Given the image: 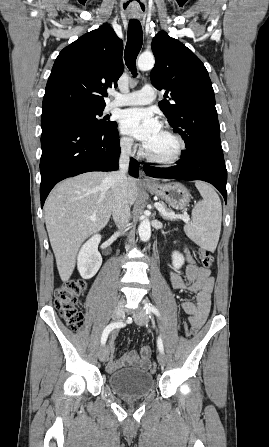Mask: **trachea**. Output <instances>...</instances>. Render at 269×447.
I'll list each match as a JSON object with an SVG mask.
<instances>
[{
    "mask_svg": "<svg viewBox=\"0 0 269 447\" xmlns=\"http://www.w3.org/2000/svg\"><path fill=\"white\" fill-rule=\"evenodd\" d=\"M143 43L142 26L138 20H130L124 59L133 76L137 75L136 58Z\"/></svg>",
    "mask_w": 269,
    "mask_h": 447,
    "instance_id": "trachea-1",
    "label": "trachea"
}]
</instances>
